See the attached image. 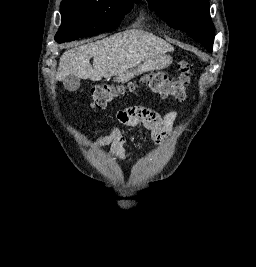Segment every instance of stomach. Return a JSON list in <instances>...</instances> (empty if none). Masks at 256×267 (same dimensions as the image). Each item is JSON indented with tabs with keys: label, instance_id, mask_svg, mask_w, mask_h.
<instances>
[{
	"label": "stomach",
	"instance_id": "obj_1",
	"mask_svg": "<svg viewBox=\"0 0 256 267\" xmlns=\"http://www.w3.org/2000/svg\"><path fill=\"white\" fill-rule=\"evenodd\" d=\"M160 60H163V62H140V67H168V64L172 62L171 56H161Z\"/></svg>",
	"mask_w": 256,
	"mask_h": 267
}]
</instances>
